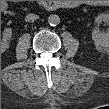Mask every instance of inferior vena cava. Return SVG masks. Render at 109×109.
Returning a JSON list of instances; mask_svg holds the SVG:
<instances>
[{
    "label": "inferior vena cava",
    "mask_w": 109,
    "mask_h": 109,
    "mask_svg": "<svg viewBox=\"0 0 109 109\" xmlns=\"http://www.w3.org/2000/svg\"><path fill=\"white\" fill-rule=\"evenodd\" d=\"M37 19H38V16L36 14H28L25 17V21L27 22H34Z\"/></svg>",
    "instance_id": "1"
}]
</instances>
